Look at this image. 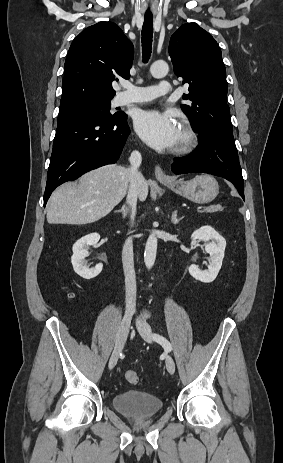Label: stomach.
I'll return each instance as SVG.
<instances>
[{
	"mask_svg": "<svg viewBox=\"0 0 283 463\" xmlns=\"http://www.w3.org/2000/svg\"><path fill=\"white\" fill-rule=\"evenodd\" d=\"M165 186L176 194L183 196L195 203L211 202L219 193V185L216 179L210 175H199L191 180L179 179Z\"/></svg>",
	"mask_w": 283,
	"mask_h": 463,
	"instance_id": "1",
	"label": "stomach"
}]
</instances>
